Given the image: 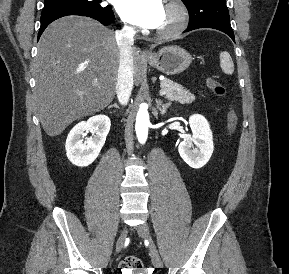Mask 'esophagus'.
<instances>
[{
    "mask_svg": "<svg viewBox=\"0 0 289 274\" xmlns=\"http://www.w3.org/2000/svg\"><path fill=\"white\" fill-rule=\"evenodd\" d=\"M143 53H144L145 55H150V54H151V52H150L149 50H144Z\"/></svg>",
    "mask_w": 289,
    "mask_h": 274,
    "instance_id": "1",
    "label": "esophagus"
}]
</instances>
